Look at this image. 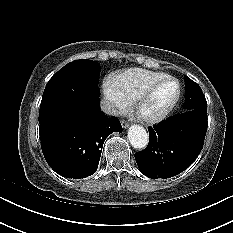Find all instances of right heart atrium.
Wrapping results in <instances>:
<instances>
[{
	"instance_id": "right-heart-atrium-1",
	"label": "right heart atrium",
	"mask_w": 233,
	"mask_h": 233,
	"mask_svg": "<svg viewBox=\"0 0 233 233\" xmlns=\"http://www.w3.org/2000/svg\"><path fill=\"white\" fill-rule=\"evenodd\" d=\"M102 87L107 100L108 111L111 114H123L128 110L130 101L118 90L113 78H105Z\"/></svg>"
}]
</instances>
